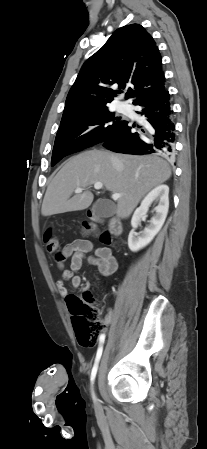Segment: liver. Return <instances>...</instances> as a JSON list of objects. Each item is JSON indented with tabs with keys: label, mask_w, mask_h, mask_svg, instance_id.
Instances as JSON below:
<instances>
[{
	"label": "liver",
	"mask_w": 207,
	"mask_h": 449,
	"mask_svg": "<svg viewBox=\"0 0 207 449\" xmlns=\"http://www.w3.org/2000/svg\"><path fill=\"white\" fill-rule=\"evenodd\" d=\"M170 176L169 164L155 155L88 150L68 159L52 179L43 199L41 214L51 216L88 208L94 198L88 187L92 182H101L107 190L121 194L116 214L125 219L151 189ZM78 187H82L84 192L70 198Z\"/></svg>",
	"instance_id": "6515ba94"
}]
</instances>
